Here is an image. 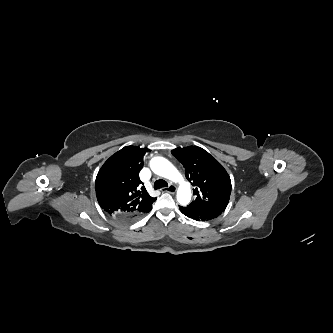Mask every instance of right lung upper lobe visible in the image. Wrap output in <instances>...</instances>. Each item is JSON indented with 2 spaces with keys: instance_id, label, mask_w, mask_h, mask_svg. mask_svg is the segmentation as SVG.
Returning a JSON list of instances; mask_svg holds the SVG:
<instances>
[{
  "instance_id": "right-lung-upper-lobe-1",
  "label": "right lung upper lobe",
  "mask_w": 333,
  "mask_h": 333,
  "mask_svg": "<svg viewBox=\"0 0 333 333\" xmlns=\"http://www.w3.org/2000/svg\"><path fill=\"white\" fill-rule=\"evenodd\" d=\"M147 149L126 146L99 170L95 189L99 205L113 217L140 216L152 209L151 197L139 178Z\"/></svg>"
}]
</instances>
